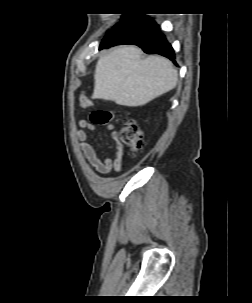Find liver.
I'll return each mask as SVG.
<instances>
[{
  "mask_svg": "<svg viewBox=\"0 0 252 303\" xmlns=\"http://www.w3.org/2000/svg\"><path fill=\"white\" fill-rule=\"evenodd\" d=\"M141 55L138 47L121 46L102 56L96 64L93 98L136 107L176 86L178 72L171 61L160 56L142 59Z\"/></svg>",
  "mask_w": 252,
  "mask_h": 303,
  "instance_id": "obj_1",
  "label": "liver"
}]
</instances>
